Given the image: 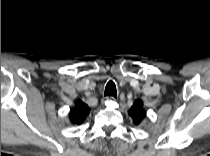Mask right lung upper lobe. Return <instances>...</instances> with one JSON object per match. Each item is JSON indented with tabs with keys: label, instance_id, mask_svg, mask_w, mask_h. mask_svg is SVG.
Returning a JSON list of instances; mask_svg holds the SVG:
<instances>
[{
	"label": "right lung upper lobe",
	"instance_id": "1",
	"mask_svg": "<svg viewBox=\"0 0 210 156\" xmlns=\"http://www.w3.org/2000/svg\"><path fill=\"white\" fill-rule=\"evenodd\" d=\"M89 112V107L81 100H77L75 102V108L71 110L69 117L72 123L81 124Z\"/></svg>",
	"mask_w": 210,
	"mask_h": 156
}]
</instances>
